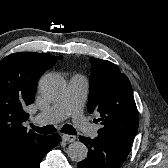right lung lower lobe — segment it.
<instances>
[{
	"instance_id": "right-lung-lower-lobe-1",
	"label": "right lung lower lobe",
	"mask_w": 168,
	"mask_h": 168,
	"mask_svg": "<svg viewBox=\"0 0 168 168\" xmlns=\"http://www.w3.org/2000/svg\"><path fill=\"white\" fill-rule=\"evenodd\" d=\"M59 140L58 134L46 136L43 141L30 147L23 155L19 156L11 168H39L46 152L55 147Z\"/></svg>"
}]
</instances>
